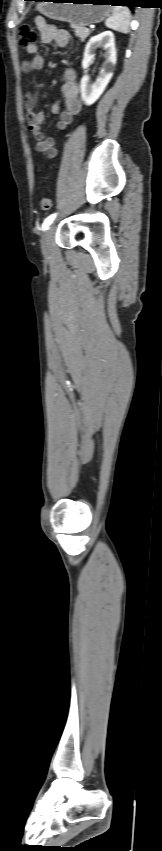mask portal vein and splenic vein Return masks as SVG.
Wrapping results in <instances>:
<instances>
[{"label": "portal vein and splenic vein", "mask_w": 162, "mask_h": 851, "mask_svg": "<svg viewBox=\"0 0 162 851\" xmlns=\"http://www.w3.org/2000/svg\"><path fill=\"white\" fill-rule=\"evenodd\" d=\"M85 30H86V31H89V28H86Z\"/></svg>", "instance_id": "1"}]
</instances>
